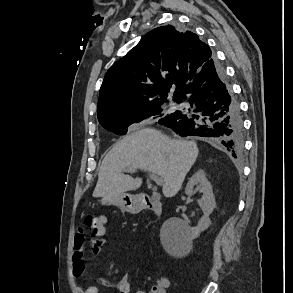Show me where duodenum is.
<instances>
[{
  "label": "duodenum",
  "mask_w": 293,
  "mask_h": 293,
  "mask_svg": "<svg viewBox=\"0 0 293 293\" xmlns=\"http://www.w3.org/2000/svg\"><path fill=\"white\" fill-rule=\"evenodd\" d=\"M136 209L139 212L143 210H151L157 217H161L163 213L162 203L148 194L139 196L136 202Z\"/></svg>",
  "instance_id": "obj_1"
}]
</instances>
